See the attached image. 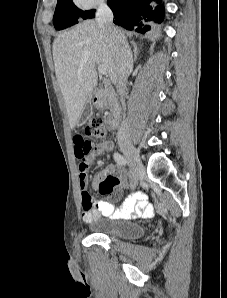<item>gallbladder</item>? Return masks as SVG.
I'll return each instance as SVG.
<instances>
[{"label": "gallbladder", "instance_id": "bac80fb5", "mask_svg": "<svg viewBox=\"0 0 227 298\" xmlns=\"http://www.w3.org/2000/svg\"><path fill=\"white\" fill-rule=\"evenodd\" d=\"M92 114H93V106H92L91 100L88 99L81 112V116L79 118L77 126L84 125L88 121V119L92 116Z\"/></svg>", "mask_w": 227, "mask_h": 298}]
</instances>
